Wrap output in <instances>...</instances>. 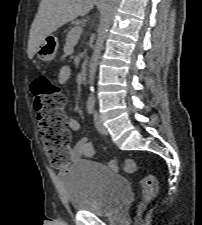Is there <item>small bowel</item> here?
<instances>
[{"label": "small bowel", "mask_w": 202, "mask_h": 225, "mask_svg": "<svg viewBox=\"0 0 202 225\" xmlns=\"http://www.w3.org/2000/svg\"><path fill=\"white\" fill-rule=\"evenodd\" d=\"M71 78L72 70L69 67L62 68L57 77L60 84H67ZM68 125L71 132H79L81 129L80 121L75 117L68 119ZM94 156L95 151L93 145L87 138H82L72 147L69 159L74 162L81 159H92Z\"/></svg>", "instance_id": "obj_1"}]
</instances>
